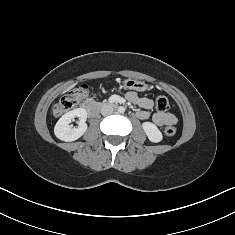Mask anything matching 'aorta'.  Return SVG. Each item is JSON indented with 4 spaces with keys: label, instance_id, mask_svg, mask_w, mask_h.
Segmentation results:
<instances>
[{
    "label": "aorta",
    "instance_id": "1",
    "mask_svg": "<svg viewBox=\"0 0 235 235\" xmlns=\"http://www.w3.org/2000/svg\"><path fill=\"white\" fill-rule=\"evenodd\" d=\"M118 112H119V113H124V112H125V108H124L123 106H120V107L118 108Z\"/></svg>",
    "mask_w": 235,
    "mask_h": 235
}]
</instances>
